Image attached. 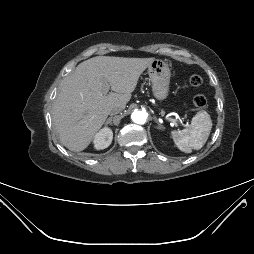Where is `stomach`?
Wrapping results in <instances>:
<instances>
[{
	"mask_svg": "<svg viewBox=\"0 0 254 254\" xmlns=\"http://www.w3.org/2000/svg\"><path fill=\"white\" fill-rule=\"evenodd\" d=\"M147 72L151 80L154 97L159 101L165 100L169 93L170 68L164 61L154 59L148 66Z\"/></svg>",
	"mask_w": 254,
	"mask_h": 254,
	"instance_id": "stomach-1",
	"label": "stomach"
}]
</instances>
